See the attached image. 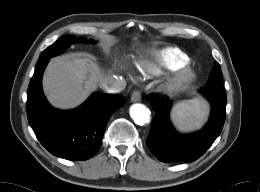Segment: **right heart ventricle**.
I'll return each mask as SVG.
<instances>
[{
  "instance_id": "e07e8e85",
  "label": "right heart ventricle",
  "mask_w": 260,
  "mask_h": 192,
  "mask_svg": "<svg viewBox=\"0 0 260 192\" xmlns=\"http://www.w3.org/2000/svg\"><path fill=\"white\" fill-rule=\"evenodd\" d=\"M188 57L178 49L170 48L158 57V65L152 68V73L160 74L162 69L176 70L186 64Z\"/></svg>"
}]
</instances>
